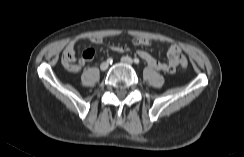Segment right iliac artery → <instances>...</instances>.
Masks as SVG:
<instances>
[{
	"label": "right iliac artery",
	"mask_w": 244,
	"mask_h": 157,
	"mask_svg": "<svg viewBox=\"0 0 244 157\" xmlns=\"http://www.w3.org/2000/svg\"><path fill=\"white\" fill-rule=\"evenodd\" d=\"M107 62L110 63V64H112L113 59H112V58H108V59H107Z\"/></svg>",
	"instance_id": "82829eb1"
}]
</instances>
